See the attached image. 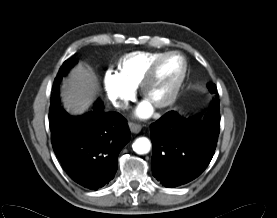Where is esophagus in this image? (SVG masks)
<instances>
[{
	"label": "esophagus",
	"instance_id": "1",
	"mask_svg": "<svg viewBox=\"0 0 277 218\" xmlns=\"http://www.w3.org/2000/svg\"><path fill=\"white\" fill-rule=\"evenodd\" d=\"M129 128H130V131H131L132 133L137 134V133H139V132L141 131V128H142V127H141V125H139V124L130 122V123H129Z\"/></svg>",
	"mask_w": 277,
	"mask_h": 218
}]
</instances>
